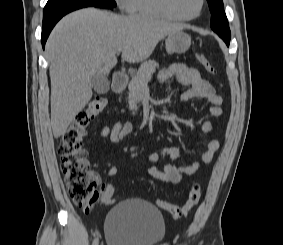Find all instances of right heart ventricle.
<instances>
[{
    "label": "right heart ventricle",
    "mask_w": 283,
    "mask_h": 245,
    "mask_svg": "<svg viewBox=\"0 0 283 245\" xmlns=\"http://www.w3.org/2000/svg\"><path fill=\"white\" fill-rule=\"evenodd\" d=\"M126 10L132 15L172 20L162 10L160 0H128Z\"/></svg>",
    "instance_id": "right-heart-ventricle-1"
}]
</instances>
